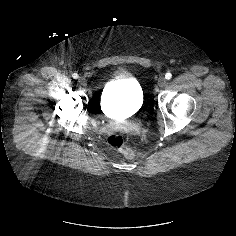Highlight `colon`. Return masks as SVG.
Returning a JSON list of instances; mask_svg holds the SVG:
<instances>
[{
    "label": "colon",
    "mask_w": 236,
    "mask_h": 236,
    "mask_svg": "<svg viewBox=\"0 0 236 236\" xmlns=\"http://www.w3.org/2000/svg\"><path fill=\"white\" fill-rule=\"evenodd\" d=\"M107 144L114 151L131 158L134 156V151L126 146L125 139L121 134L113 133L107 137Z\"/></svg>",
    "instance_id": "colon-1"
}]
</instances>
